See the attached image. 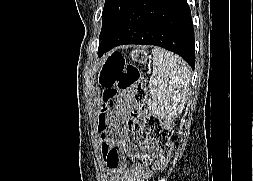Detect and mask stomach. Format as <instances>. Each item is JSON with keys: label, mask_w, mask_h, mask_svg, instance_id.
<instances>
[{"label": "stomach", "mask_w": 253, "mask_h": 181, "mask_svg": "<svg viewBox=\"0 0 253 181\" xmlns=\"http://www.w3.org/2000/svg\"><path fill=\"white\" fill-rule=\"evenodd\" d=\"M131 57L135 62H138L139 64H145L147 62L146 54L139 49L133 50L131 53Z\"/></svg>", "instance_id": "1"}]
</instances>
